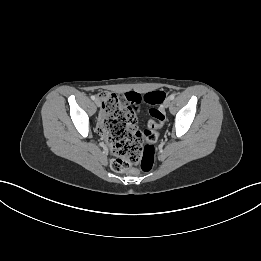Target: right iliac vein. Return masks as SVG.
Masks as SVG:
<instances>
[{
    "instance_id": "63e3f726",
    "label": "right iliac vein",
    "mask_w": 261,
    "mask_h": 261,
    "mask_svg": "<svg viewBox=\"0 0 261 261\" xmlns=\"http://www.w3.org/2000/svg\"><path fill=\"white\" fill-rule=\"evenodd\" d=\"M95 104L99 107L101 105L100 99L96 98L95 99Z\"/></svg>"
}]
</instances>
